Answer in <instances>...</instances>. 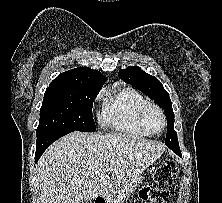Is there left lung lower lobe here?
<instances>
[{"label": "left lung lower lobe", "instance_id": "left-lung-lower-lobe-1", "mask_svg": "<svg viewBox=\"0 0 222 203\" xmlns=\"http://www.w3.org/2000/svg\"><path fill=\"white\" fill-rule=\"evenodd\" d=\"M173 152H175L177 155L181 156V151L179 148V145H173V146H168Z\"/></svg>", "mask_w": 222, "mask_h": 203}]
</instances>
